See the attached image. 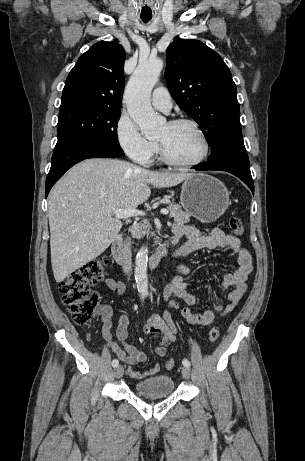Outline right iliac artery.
<instances>
[{
	"instance_id": "obj_1",
	"label": "right iliac artery",
	"mask_w": 305,
	"mask_h": 461,
	"mask_svg": "<svg viewBox=\"0 0 305 461\" xmlns=\"http://www.w3.org/2000/svg\"><path fill=\"white\" fill-rule=\"evenodd\" d=\"M118 365H119V361H118L117 359H114V360L112 361V366H113V367H117Z\"/></svg>"
}]
</instances>
